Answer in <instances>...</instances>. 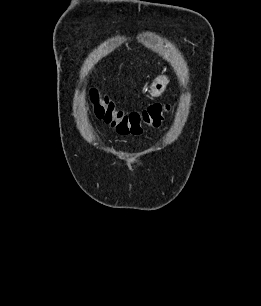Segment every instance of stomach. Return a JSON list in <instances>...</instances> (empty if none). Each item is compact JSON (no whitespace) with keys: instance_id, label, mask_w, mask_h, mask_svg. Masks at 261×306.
I'll return each instance as SVG.
<instances>
[{"instance_id":"stomach-1","label":"stomach","mask_w":261,"mask_h":306,"mask_svg":"<svg viewBox=\"0 0 261 306\" xmlns=\"http://www.w3.org/2000/svg\"><path fill=\"white\" fill-rule=\"evenodd\" d=\"M167 84H168V79L166 76L163 75L158 76L152 84L151 96L152 97L160 96L164 92Z\"/></svg>"}]
</instances>
